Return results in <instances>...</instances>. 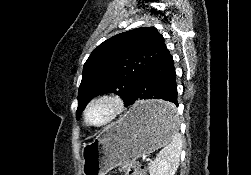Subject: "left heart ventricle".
Returning a JSON list of instances; mask_svg holds the SVG:
<instances>
[{
	"label": "left heart ventricle",
	"instance_id": "left-heart-ventricle-1",
	"mask_svg": "<svg viewBox=\"0 0 251 175\" xmlns=\"http://www.w3.org/2000/svg\"><path fill=\"white\" fill-rule=\"evenodd\" d=\"M117 113L116 105L108 100L96 101L89 110V120L94 125H104Z\"/></svg>",
	"mask_w": 251,
	"mask_h": 175
}]
</instances>
